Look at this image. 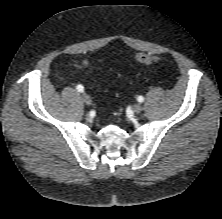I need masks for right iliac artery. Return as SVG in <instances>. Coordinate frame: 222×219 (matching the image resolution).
<instances>
[{"label": "right iliac artery", "instance_id": "obj_1", "mask_svg": "<svg viewBox=\"0 0 222 219\" xmlns=\"http://www.w3.org/2000/svg\"><path fill=\"white\" fill-rule=\"evenodd\" d=\"M76 89L78 92H81V93L84 91V87L81 84L77 85Z\"/></svg>", "mask_w": 222, "mask_h": 219}]
</instances>
